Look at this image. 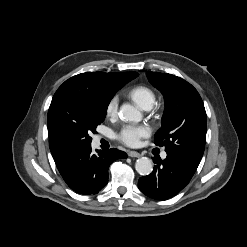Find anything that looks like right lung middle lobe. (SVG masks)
Segmentation results:
<instances>
[{"label":"right lung middle lobe","mask_w":247,"mask_h":247,"mask_svg":"<svg viewBox=\"0 0 247 247\" xmlns=\"http://www.w3.org/2000/svg\"><path fill=\"white\" fill-rule=\"evenodd\" d=\"M111 99L77 92L54 95L48 110V125L68 146L74 149L90 146V134L104 121Z\"/></svg>","instance_id":"1"}]
</instances>
